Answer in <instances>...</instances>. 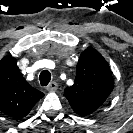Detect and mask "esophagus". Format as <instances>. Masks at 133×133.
I'll use <instances>...</instances> for the list:
<instances>
[{"mask_svg": "<svg viewBox=\"0 0 133 133\" xmlns=\"http://www.w3.org/2000/svg\"><path fill=\"white\" fill-rule=\"evenodd\" d=\"M57 88H58V84L55 81L49 83V85L46 87L47 91L49 92H54L57 90Z\"/></svg>", "mask_w": 133, "mask_h": 133, "instance_id": "obj_1", "label": "esophagus"}]
</instances>
